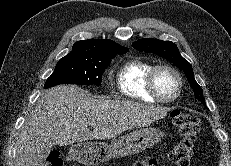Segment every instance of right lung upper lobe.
<instances>
[{"mask_svg":"<svg viewBox=\"0 0 231 166\" xmlns=\"http://www.w3.org/2000/svg\"><path fill=\"white\" fill-rule=\"evenodd\" d=\"M128 50V48L109 39H88L76 42L69 54L98 58L105 55L127 52Z\"/></svg>","mask_w":231,"mask_h":166,"instance_id":"cb5924a9","label":"right lung upper lobe"}]
</instances>
